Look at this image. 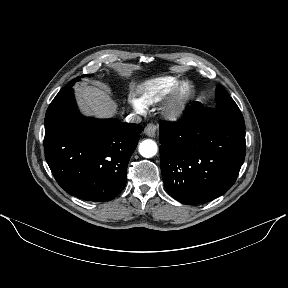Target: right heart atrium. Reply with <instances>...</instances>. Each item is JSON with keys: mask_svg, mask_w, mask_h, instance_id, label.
Returning <instances> with one entry per match:
<instances>
[{"mask_svg": "<svg viewBox=\"0 0 288 288\" xmlns=\"http://www.w3.org/2000/svg\"><path fill=\"white\" fill-rule=\"evenodd\" d=\"M129 103L133 107V109L136 110L137 112H144L145 107L137 98L131 97L129 99Z\"/></svg>", "mask_w": 288, "mask_h": 288, "instance_id": "d8ad5b80", "label": "right heart atrium"}]
</instances>
